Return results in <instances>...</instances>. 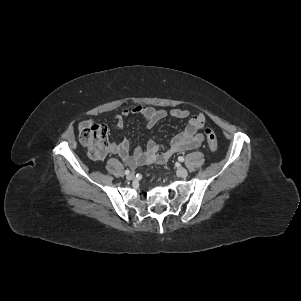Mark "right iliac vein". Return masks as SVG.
I'll return each mask as SVG.
<instances>
[{"instance_id": "63e3f726", "label": "right iliac vein", "mask_w": 301, "mask_h": 301, "mask_svg": "<svg viewBox=\"0 0 301 301\" xmlns=\"http://www.w3.org/2000/svg\"><path fill=\"white\" fill-rule=\"evenodd\" d=\"M134 177H135L134 173H130V174L127 175L126 178H127V180H133Z\"/></svg>"}]
</instances>
